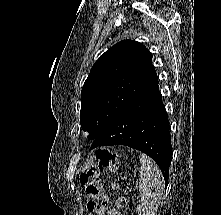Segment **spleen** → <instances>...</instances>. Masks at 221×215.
<instances>
[{"label":"spleen","mask_w":221,"mask_h":215,"mask_svg":"<svg viewBox=\"0 0 221 215\" xmlns=\"http://www.w3.org/2000/svg\"><path fill=\"white\" fill-rule=\"evenodd\" d=\"M141 162L139 190L141 201L136 210L138 215H156L164 194L163 175L157 164L145 154L139 156Z\"/></svg>","instance_id":"spleen-1"}]
</instances>
